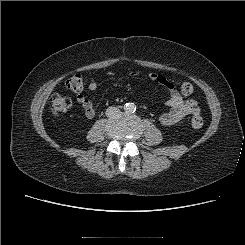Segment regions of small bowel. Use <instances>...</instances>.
I'll list each match as a JSON object with an SVG mask.
<instances>
[{
  "label": "small bowel",
  "mask_w": 245,
  "mask_h": 245,
  "mask_svg": "<svg viewBox=\"0 0 245 245\" xmlns=\"http://www.w3.org/2000/svg\"><path fill=\"white\" fill-rule=\"evenodd\" d=\"M138 72H133L132 76H138ZM149 79L151 82L162 85L169 92V98L165 104L169 110L162 113L159 121L163 126H172L188 115H196L199 113V107L196 101L185 99L182 94L176 89L174 84L170 82L165 76L158 73H150ZM90 91H95L97 88V81L91 78L88 83ZM77 102L82 106L85 116L89 119L96 115V110L93 103L86 98L83 94H78L76 97Z\"/></svg>",
  "instance_id": "obj_1"
}]
</instances>
